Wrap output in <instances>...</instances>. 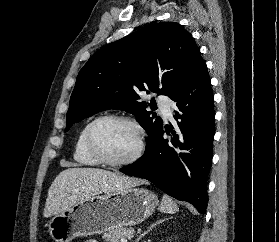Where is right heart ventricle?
Wrapping results in <instances>:
<instances>
[{"label": "right heart ventricle", "mask_w": 279, "mask_h": 242, "mask_svg": "<svg viewBox=\"0 0 279 242\" xmlns=\"http://www.w3.org/2000/svg\"><path fill=\"white\" fill-rule=\"evenodd\" d=\"M91 122L86 123L79 132L75 145L73 158L76 163L85 167H95L100 162L89 152L87 147V131Z\"/></svg>", "instance_id": "obj_1"}]
</instances>
